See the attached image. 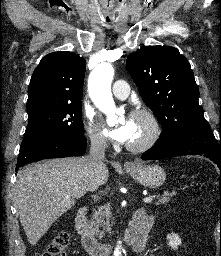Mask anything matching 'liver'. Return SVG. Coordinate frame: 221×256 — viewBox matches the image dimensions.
<instances>
[{"label":"liver","mask_w":221,"mask_h":256,"mask_svg":"<svg viewBox=\"0 0 221 256\" xmlns=\"http://www.w3.org/2000/svg\"><path fill=\"white\" fill-rule=\"evenodd\" d=\"M87 159H49L20 169L14 188V202L27 239L35 245L51 225L71 209L76 199L92 191ZM105 166L97 185L108 181Z\"/></svg>","instance_id":"6515ba94"}]
</instances>
